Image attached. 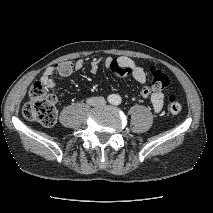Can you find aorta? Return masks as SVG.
<instances>
[{"label":"aorta","instance_id":"1","mask_svg":"<svg viewBox=\"0 0 213 213\" xmlns=\"http://www.w3.org/2000/svg\"><path fill=\"white\" fill-rule=\"evenodd\" d=\"M121 97L120 95L118 94H112L110 97H109V102L113 105H119L121 103Z\"/></svg>","mask_w":213,"mask_h":213}]
</instances>
